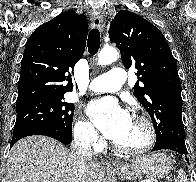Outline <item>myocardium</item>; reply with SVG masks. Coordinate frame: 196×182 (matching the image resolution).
Returning <instances> with one entry per match:
<instances>
[{"instance_id":"obj_1","label":"myocardium","mask_w":196,"mask_h":182,"mask_svg":"<svg viewBox=\"0 0 196 182\" xmlns=\"http://www.w3.org/2000/svg\"><path fill=\"white\" fill-rule=\"evenodd\" d=\"M133 118L137 119L143 124L146 129L147 139L146 142L138 148H126L118 145L116 142L113 143V147L117 152L128 156H138L146 153L153 147L156 140L155 127L148 117L142 114H134Z\"/></svg>"}]
</instances>
